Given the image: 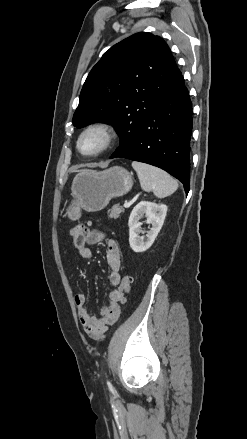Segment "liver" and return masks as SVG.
Instances as JSON below:
<instances>
[{
	"label": "liver",
	"mask_w": 247,
	"mask_h": 439,
	"mask_svg": "<svg viewBox=\"0 0 247 439\" xmlns=\"http://www.w3.org/2000/svg\"><path fill=\"white\" fill-rule=\"evenodd\" d=\"M84 171H86V170H81V172H84Z\"/></svg>",
	"instance_id": "obj_1"
}]
</instances>
